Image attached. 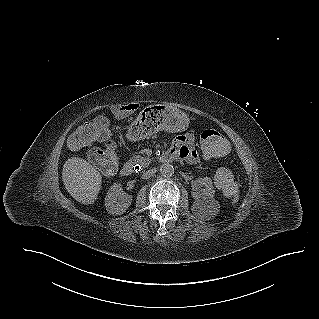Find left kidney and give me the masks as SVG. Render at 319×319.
<instances>
[{
	"label": "left kidney",
	"mask_w": 319,
	"mask_h": 319,
	"mask_svg": "<svg viewBox=\"0 0 319 319\" xmlns=\"http://www.w3.org/2000/svg\"><path fill=\"white\" fill-rule=\"evenodd\" d=\"M214 194L215 190L209 177L198 178L194 181L192 196L195 199V204L203 210L204 216L211 208L214 209L213 215H216L219 210L218 202L214 200Z\"/></svg>",
	"instance_id": "obj_1"
}]
</instances>
